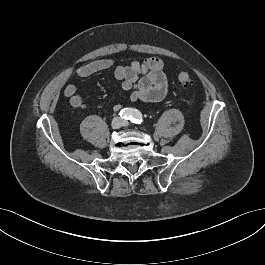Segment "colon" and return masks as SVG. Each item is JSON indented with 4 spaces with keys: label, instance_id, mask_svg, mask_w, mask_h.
Listing matches in <instances>:
<instances>
[{
    "label": "colon",
    "instance_id": "colon-1",
    "mask_svg": "<svg viewBox=\"0 0 265 265\" xmlns=\"http://www.w3.org/2000/svg\"><path fill=\"white\" fill-rule=\"evenodd\" d=\"M178 84L182 88H186L192 84V79L187 72H179L177 75Z\"/></svg>",
    "mask_w": 265,
    "mask_h": 265
}]
</instances>
